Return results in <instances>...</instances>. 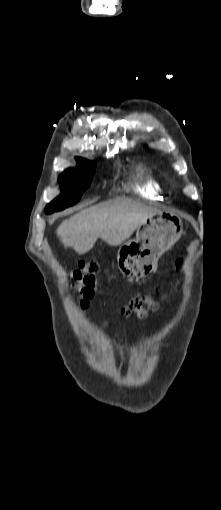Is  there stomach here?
I'll return each instance as SVG.
<instances>
[{"mask_svg": "<svg viewBox=\"0 0 221 510\" xmlns=\"http://www.w3.org/2000/svg\"><path fill=\"white\" fill-rule=\"evenodd\" d=\"M183 224L179 216L160 211L148 217L136 232V238L121 245L117 254L118 268L130 281L148 276L160 256L181 237Z\"/></svg>", "mask_w": 221, "mask_h": 510, "instance_id": "1", "label": "stomach"}]
</instances>
